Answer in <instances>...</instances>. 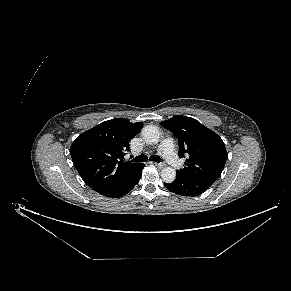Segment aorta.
Masks as SVG:
<instances>
[{
  "instance_id": "aorta-1",
  "label": "aorta",
  "mask_w": 291,
  "mask_h": 291,
  "mask_svg": "<svg viewBox=\"0 0 291 291\" xmlns=\"http://www.w3.org/2000/svg\"><path fill=\"white\" fill-rule=\"evenodd\" d=\"M142 138L150 145L157 144L160 140L159 129L154 125H147L141 131ZM161 177L164 182L172 183L176 178V170L172 167H165L161 171Z\"/></svg>"
}]
</instances>
